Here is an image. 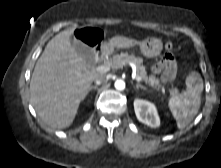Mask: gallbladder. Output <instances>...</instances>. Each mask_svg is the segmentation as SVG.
I'll list each match as a JSON object with an SVG mask.
<instances>
[{
  "mask_svg": "<svg viewBox=\"0 0 221 168\" xmlns=\"http://www.w3.org/2000/svg\"><path fill=\"white\" fill-rule=\"evenodd\" d=\"M71 45L77 52V54L82 57L87 63H91L93 61L94 54L92 49L88 45L75 38L71 39Z\"/></svg>",
  "mask_w": 221,
  "mask_h": 168,
  "instance_id": "bac80fb5",
  "label": "gallbladder"
}]
</instances>
